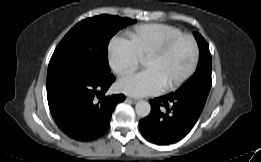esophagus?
I'll use <instances>...</instances> for the list:
<instances>
[{
    "mask_svg": "<svg viewBox=\"0 0 261 162\" xmlns=\"http://www.w3.org/2000/svg\"><path fill=\"white\" fill-rule=\"evenodd\" d=\"M126 99L129 100V101H131V102H133V103H136V102H137L136 99H133V98H131V97H127Z\"/></svg>",
    "mask_w": 261,
    "mask_h": 162,
    "instance_id": "1",
    "label": "esophagus"
}]
</instances>
